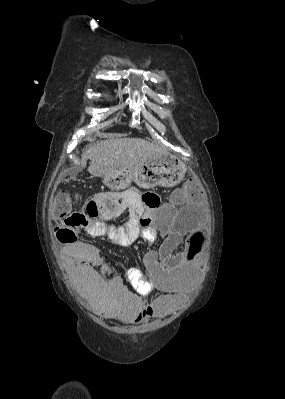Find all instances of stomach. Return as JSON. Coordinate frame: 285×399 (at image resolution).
<instances>
[{"mask_svg": "<svg viewBox=\"0 0 285 399\" xmlns=\"http://www.w3.org/2000/svg\"><path fill=\"white\" fill-rule=\"evenodd\" d=\"M186 173L184 163L170 154L154 156L143 163L127 170L104 177V184L111 191H121L135 182L140 188L150 189L155 186L173 187Z\"/></svg>", "mask_w": 285, "mask_h": 399, "instance_id": "1", "label": "stomach"}]
</instances>
